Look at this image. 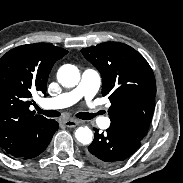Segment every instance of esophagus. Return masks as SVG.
<instances>
[{
    "label": "esophagus",
    "instance_id": "obj_1",
    "mask_svg": "<svg viewBox=\"0 0 183 183\" xmlns=\"http://www.w3.org/2000/svg\"><path fill=\"white\" fill-rule=\"evenodd\" d=\"M81 122L79 120L76 119H67L63 121V124L66 127L72 128V127H76L77 125H79Z\"/></svg>",
    "mask_w": 183,
    "mask_h": 183
}]
</instances>
